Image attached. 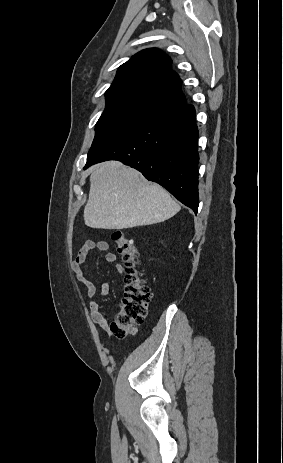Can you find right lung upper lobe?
I'll use <instances>...</instances> for the list:
<instances>
[{"label": "right lung upper lobe", "mask_w": 283, "mask_h": 463, "mask_svg": "<svg viewBox=\"0 0 283 463\" xmlns=\"http://www.w3.org/2000/svg\"><path fill=\"white\" fill-rule=\"evenodd\" d=\"M181 79L171 69V59L156 48L142 50L122 64L105 94L123 95L161 113L186 103Z\"/></svg>", "instance_id": "1"}]
</instances>
